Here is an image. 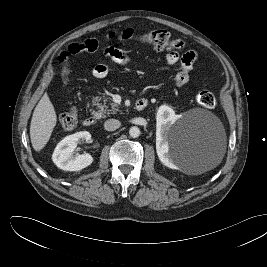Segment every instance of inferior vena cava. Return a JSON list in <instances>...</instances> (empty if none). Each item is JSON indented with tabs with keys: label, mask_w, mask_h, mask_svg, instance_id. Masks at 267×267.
Wrapping results in <instances>:
<instances>
[{
	"label": "inferior vena cava",
	"mask_w": 267,
	"mask_h": 267,
	"mask_svg": "<svg viewBox=\"0 0 267 267\" xmlns=\"http://www.w3.org/2000/svg\"><path fill=\"white\" fill-rule=\"evenodd\" d=\"M121 126V122L117 119H108L104 123V128L107 131H114Z\"/></svg>",
	"instance_id": "inferior-vena-cava-1"
}]
</instances>
